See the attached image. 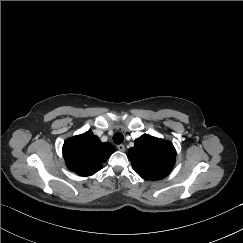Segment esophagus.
<instances>
[{
	"label": "esophagus",
	"instance_id": "1",
	"mask_svg": "<svg viewBox=\"0 0 243 243\" xmlns=\"http://www.w3.org/2000/svg\"><path fill=\"white\" fill-rule=\"evenodd\" d=\"M117 149L121 152H124L125 151V146L123 144H119L117 145Z\"/></svg>",
	"mask_w": 243,
	"mask_h": 243
}]
</instances>
